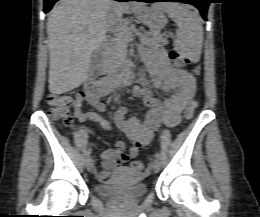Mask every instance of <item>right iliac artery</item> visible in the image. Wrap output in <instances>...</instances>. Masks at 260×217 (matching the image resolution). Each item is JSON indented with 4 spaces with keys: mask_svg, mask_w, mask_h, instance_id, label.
<instances>
[{
    "mask_svg": "<svg viewBox=\"0 0 260 217\" xmlns=\"http://www.w3.org/2000/svg\"><path fill=\"white\" fill-rule=\"evenodd\" d=\"M91 155V148H89L87 151H86V157H89Z\"/></svg>",
    "mask_w": 260,
    "mask_h": 217,
    "instance_id": "82829eb1",
    "label": "right iliac artery"
}]
</instances>
